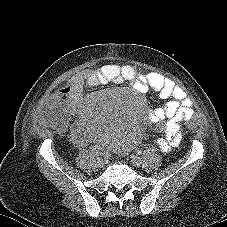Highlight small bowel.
<instances>
[{"instance_id": "1", "label": "small bowel", "mask_w": 227, "mask_h": 227, "mask_svg": "<svg viewBox=\"0 0 227 227\" xmlns=\"http://www.w3.org/2000/svg\"><path fill=\"white\" fill-rule=\"evenodd\" d=\"M105 82H129L140 94H145L149 89L158 92L165 103L149 114L150 122L164 132L163 137L156 139V144L162 152H170L179 145L182 137L178 133V125L192 117L193 104L183 88L156 72L141 74L136 67L130 65H105L96 69H87L73 75L67 84L48 100V107L52 108L55 104L61 103L70 110L84 108L85 89ZM165 120L166 122L162 124ZM59 127L68 131L69 124L61 121ZM69 131L76 145L81 146L86 143L80 127L70 128Z\"/></svg>"}]
</instances>
